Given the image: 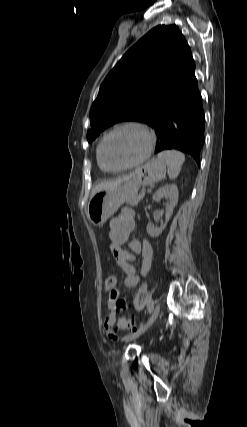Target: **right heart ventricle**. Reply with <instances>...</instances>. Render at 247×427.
Returning <instances> with one entry per match:
<instances>
[{
	"instance_id": "obj_1",
	"label": "right heart ventricle",
	"mask_w": 247,
	"mask_h": 427,
	"mask_svg": "<svg viewBox=\"0 0 247 427\" xmlns=\"http://www.w3.org/2000/svg\"><path fill=\"white\" fill-rule=\"evenodd\" d=\"M98 147H99V146H98ZM96 158H97V162H98L99 168H100L102 171H106V170L102 167V165H101V163H100V161H99V157H98V148H97V152H96Z\"/></svg>"
}]
</instances>
